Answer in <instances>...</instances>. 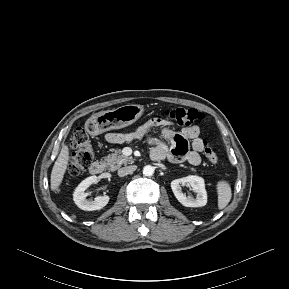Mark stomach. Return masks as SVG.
Here are the masks:
<instances>
[{"label": "stomach", "mask_w": 289, "mask_h": 289, "mask_svg": "<svg viewBox=\"0 0 289 289\" xmlns=\"http://www.w3.org/2000/svg\"><path fill=\"white\" fill-rule=\"evenodd\" d=\"M143 112L144 107L142 105L128 104L120 106L91 116L85 123V129L92 136L113 129H121L136 122Z\"/></svg>", "instance_id": "obj_1"}]
</instances>
